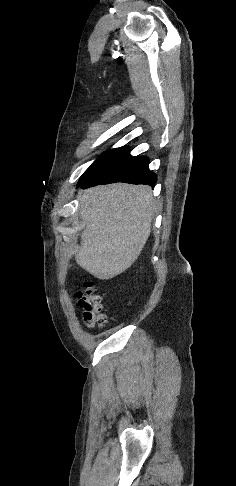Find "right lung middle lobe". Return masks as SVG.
I'll list each match as a JSON object with an SVG mask.
<instances>
[{
  "label": "right lung middle lobe",
  "mask_w": 236,
  "mask_h": 486,
  "mask_svg": "<svg viewBox=\"0 0 236 486\" xmlns=\"http://www.w3.org/2000/svg\"><path fill=\"white\" fill-rule=\"evenodd\" d=\"M120 149L121 148L112 149L102 154L82 175V177L79 180V183L85 180L97 167H99L102 163H104L108 158H110L113 154H115Z\"/></svg>",
  "instance_id": "right-lung-middle-lobe-1"
}]
</instances>
